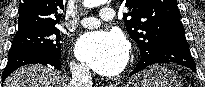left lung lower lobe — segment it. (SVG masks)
Segmentation results:
<instances>
[{"label":"left lung lower lobe","mask_w":205,"mask_h":87,"mask_svg":"<svg viewBox=\"0 0 205 87\" xmlns=\"http://www.w3.org/2000/svg\"><path fill=\"white\" fill-rule=\"evenodd\" d=\"M169 62L183 65L196 72V65L190 54L184 32H177L164 38L157 54L152 57L141 58L130 75L145 69L147 66Z\"/></svg>","instance_id":"left-lung-lower-lobe-1"}]
</instances>
